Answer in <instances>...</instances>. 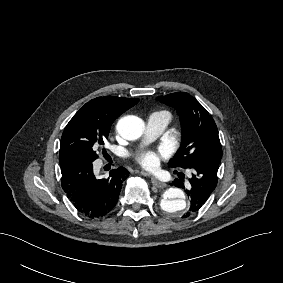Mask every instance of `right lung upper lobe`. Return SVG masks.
Returning a JSON list of instances; mask_svg holds the SVG:
<instances>
[{"label": "right lung upper lobe", "instance_id": "cb5924a9", "mask_svg": "<svg viewBox=\"0 0 283 283\" xmlns=\"http://www.w3.org/2000/svg\"><path fill=\"white\" fill-rule=\"evenodd\" d=\"M139 99L105 96L95 98L84 105L95 111L105 113L113 121L123 112L137 104Z\"/></svg>", "mask_w": 283, "mask_h": 283}]
</instances>
